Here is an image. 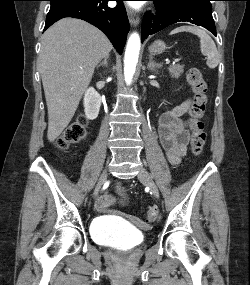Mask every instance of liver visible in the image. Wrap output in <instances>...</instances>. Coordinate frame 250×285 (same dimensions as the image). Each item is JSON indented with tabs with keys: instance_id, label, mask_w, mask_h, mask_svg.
<instances>
[{
	"instance_id": "1",
	"label": "liver",
	"mask_w": 250,
	"mask_h": 285,
	"mask_svg": "<svg viewBox=\"0 0 250 285\" xmlns=\"http://www.w3.org/2000/svg\"><path fill=\"white\" fill-rule=\"evenodd\" d=\"M111 50L112 44L100 30L78 19H62L43 34L38 64L50 142L70 123L95 67Z\"/></svg>"
}]
</instances>
